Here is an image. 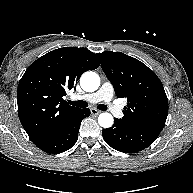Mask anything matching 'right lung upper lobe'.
<instances>
[{
  "instance_id": "1",
  "label": "right lung upper lobe",
  "mask_w": 193,
  "mask_h": 193,
  "mask_svg": "<svg viewBox=\"0 0 193 193\" xmlns=\"http://www.w3.org/2000/svg\"><path fill=\"white\" fill-rule=\"evenodd\" d=\"M99 65L88 49L64 47L43 55L28 67L18 85V116L35 145L79 112L80 108L70 106L63 96L84 72Z\"/></svg>"
}]
</instances>
